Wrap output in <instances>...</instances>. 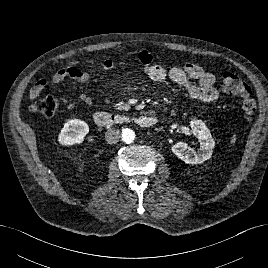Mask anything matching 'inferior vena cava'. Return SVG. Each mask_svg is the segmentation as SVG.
Segmentation results:
<instances>
[{
    "mask_svg": "<svg viewBox=\"0 0 268 268\" xmlns=\"http://www.w3.org/2000/svg\"><path fill=\"white\" fill-rule=\"evenodd\" d=\"M121 137L119 129L112 128L105 133V139L109 144H115Z\"/></svg>",
    "mask_w": 268,
    "mask_h": 268,
    "instance_id": "602c4592",
    "label": "inferior vena cava"
}]
</instances>
